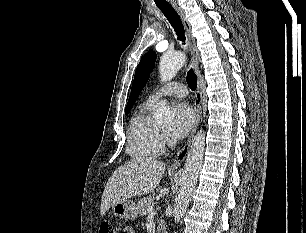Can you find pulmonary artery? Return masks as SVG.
I'll use <instances>...</instances> for the list:
<instances>
[{"mask_svg":"<svg viewBox=\"0 0 306 233\" xmlns=\"http://www.w3.org/2000/svg\"><path fill=\"white\" fill-rule=\"evenodd\" d=\"M187 93V89L183 84L171 83L159 88L158 90L150 94L146 101L151 104H154L164 97L174 96L182 98L185 97Z\"/></svg>","mask_w":306,"mask_h":233,"instance_id":"e3ab8cb5","label":"pulmonary artery"}]
</instances>
